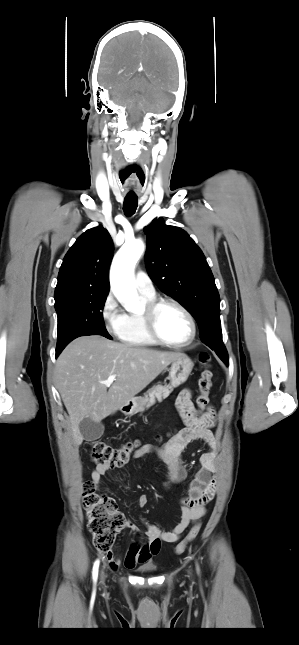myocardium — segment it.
Returning a JSON list of instances; mask_svg holds the SVG:
<instances>
[{
    "label": "myocardium",
    "mask_w": 299,
    "mask_h": 645,
    "mask_svg": "<svg viewBox=\"0 0 299 645\" xmlns=\"http://www.w3.org/2000/svg\"><path fill=\"white\" fill-rule=\"evenodd\" d=\"M166 305L175 306L176 308L181 310L187 317L190 323L191 332L189 337L185 341L171 342L164 339L159 333L158 327H157V317L160 309ZM142 315H143V320H144V324L147 332L157 343L161 345L173 347V348H181L191 344L196 337L197 326H196V321L194 316L186 306H184L182 303H180L175 299H172V298L154 299L144 305L142 310Z\"/></svg>",
    "instance_id": "1"
}]
</instances>
